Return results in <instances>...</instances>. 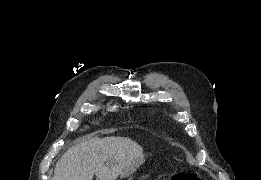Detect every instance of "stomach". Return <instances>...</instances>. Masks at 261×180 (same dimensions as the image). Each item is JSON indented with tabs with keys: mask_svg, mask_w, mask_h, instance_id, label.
Wrapping results in <instances>:
<instances>
[{
	"mask_svg": "<svg viewBox=\"0 0 261 180\" xmlns=\"http://www.w3.org/2000/svg\"><path fill=\"white\" fill-rule=\"evenodd\" d=\"M145 161L144 156L141 155L140 157L134 159L120 174V178L129 177L132 175L137 168H139L143 162Z\"/></svg>",
	"mask_w": 261,
	"mask_h": 180,
	"instance_id": "1",
	"label": "stomach"
}]
</instances>
